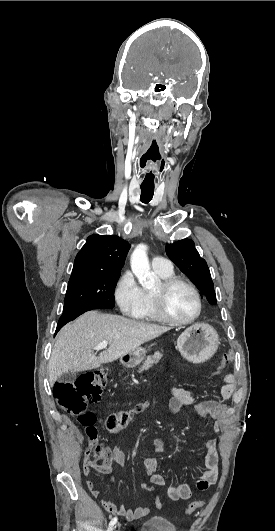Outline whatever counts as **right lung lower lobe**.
<instances>
[{
	"label": "right lung lower lobe",
	"mask_w": 275,
	"mask_h": 531,
	"mask_svg": "<svg viewBox=\"0 0 275 531\" xmlns=\"http://www.w3.org/2000/svg\"><path fill=\"white\" fill-rule=\"evenodd\" d=\"M86 311H89V310H73V311L63 312L62 316L60 317L58 321V325H57L55 333H57L66 323L74 320L75 318L85 313Z\"/></svg>",
	"instance_id": "right-lung-lower-lobe-1"
}]
</instances>
